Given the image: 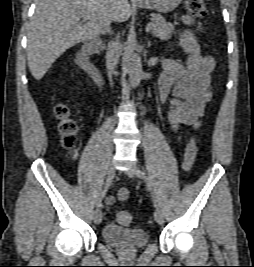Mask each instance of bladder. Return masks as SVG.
Listing matches in <instances>:
<instances>
[{"mask_svg":"<svg viewBox=\"0 0 254 267\" xmlns=\"http://www.w3.org/2000/svg\"><path fill=\"white\" fill-rule=\"evenodd\" d=\"M102 237L105 242L123 251L140 250L148 243V234L144 229L125 228L115 223L103 227Z\"/></svg>","mask_w":254,"mask_h":267,"instance_id":"1","label":"bladder"}]
</instances>
